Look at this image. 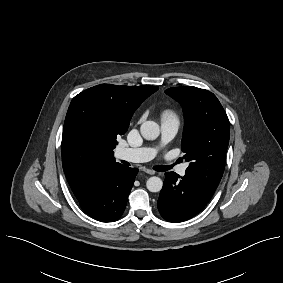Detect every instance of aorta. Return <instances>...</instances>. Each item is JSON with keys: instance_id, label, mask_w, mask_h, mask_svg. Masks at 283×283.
<instances>
[{"instance_id": "aorta-1", "label": "aorta", "mask_w": 283, "mask_h": 283, "mask_svg": "<svg viewBox=\"0 0 283 283\" xmlns=\"http://www.w3.org/2000/svg\"><path fill=\"white\" fill-rule=\"evenodd\" d=\"M141 135L146 140H155L160 134L159 125L154 121H145L140 127ZM163 182L159 177H150L146 182V187L150 192H159Z\"/></svg>"}]
</instances>
